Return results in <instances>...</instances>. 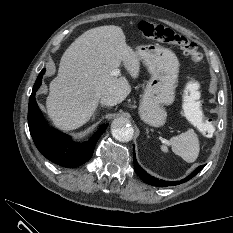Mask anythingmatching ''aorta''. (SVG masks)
<instances>
[{
	"label": "aorta",
	"instance_id": "aorta-1",
	"mask_svg": "<svg viewBox=\"0 0 233 233\" xmlns=\"http://www.w3.org/2000/svg\"><path fill=\"white\" fill-rule=\"evenodd\" d=\"M111 132L116 140L128 142L133 137L134 129L127 118L117 117L112 121Z\"/></svg>",
	"mask_w": 233,
	"mask_h": 233
}]
</instances>
